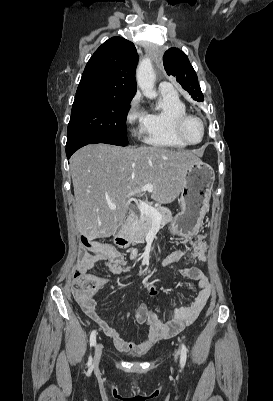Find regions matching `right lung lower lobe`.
<instances>
[{"label": "right lung lower lobe", "instance_id": "obj_1", "mask_svg": "<svg viewBox=\"0 0 273 401\" xmlns=\"http://www.w3.org/2000/svg\"><path fill=\"white\" fill-rule=\"evenodd\" d=\"M97 143H101V142L92 140V139H78V140H73V141L67 142L66 156H67V158H70V156L79 148H81L85 145H88V144H97Z\"/></svg>", "mask_w": 273, "mask_h": 401}]
</instances>
